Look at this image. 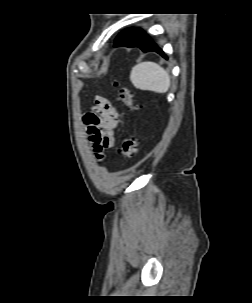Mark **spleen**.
I'll list each match as a JSON object with an SVG mask.
<instances>
[{"label": "spleen", "mask_w": 252, "mask_h": 303, "mask_svg": "<svg viewBox=\"0 0 252 303\" xmlns=\"http://www.w3.org/2000/svg\"><path fill=\"white\" fill-rule=\"evenodd\" d=\"M132 84L140 90L166 93L170 88V76L155 62L145 61L135 65L130 74Z\"/></svg>", "instance_id": "obj_1"}]
</instances>
